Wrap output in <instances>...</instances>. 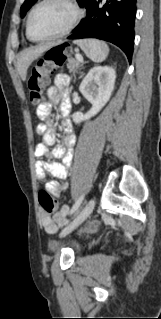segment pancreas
Instances as JSON below:
<instances>
[{
	"label": "pancreas",
	"mask_w": 161,
	"mask_h": 319,
	"mask_svg": "<svg viewBox=\"0 0 161 319\" xmlns=\"http://www.w3.org/2000/svg\"><path fill=\"white\" fill-rule=\"evenodd\" d=\"M79 66H80V62L76 59H70L67 64L69 71L73 73L76 72Z\"/></svg>",
	"instance_id": "pancreas-1"
}]
</instances>
